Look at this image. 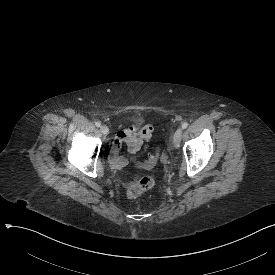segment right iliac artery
I'll use <instances>...</instances> for the list:
<instances>
[{"instance_id":"82829eb1","label":"right iliac artery","mask_w":275,"mask_h":275,"mask_svg":"<svg viewBox=\"0 0 275 275\" xmlns=\"http://www.w3.org/2000/svg\"><path fill=\"white\" fill-rule=\"evenodd\" d=\"M95 125H96V127H100L101 123L100 122H96Z\"/></svg>"}]
</instances>
